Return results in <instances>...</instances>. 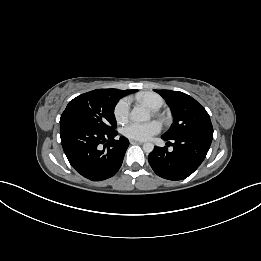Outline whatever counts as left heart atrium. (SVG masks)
I'll return each mask as SVG.
<instances>
[{"instance_id": "obj_1", "label": "left heart atrium", "mask_w": 261, "mask_h": 261, "mask_svg": "<svg viewBox=\"0 0 261 261\" xmlns=\"http://www.w3.org/2000/svg\"><path fill=\"white\" fill-rule=\"evenodd\" d=\"M161 130V123L153 120L149 122H130L123 128L124 136L133 140H147L153 135L159 133Z\"/></svg>"}]
</instances>
